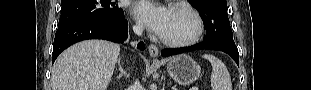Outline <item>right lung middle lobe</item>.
<instances>
[{"mask_svg": "<svg viewBox=\"0 0 311 90\" xmlns=\"http://www.w3.org/2000/svg\"><path fill=\"white\" fill-rule=\"evenodd\" d=\"M61 4L58 28L86 19L113 20L124 15L111 0H61Z\"/></svg>", "mask_w": 311, "mask_h": 90, "instance_id": "1", "label": "right lung middle lobe"}]
</instances>
